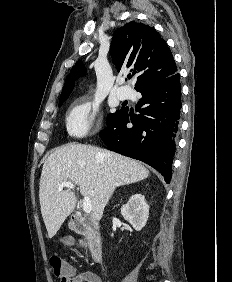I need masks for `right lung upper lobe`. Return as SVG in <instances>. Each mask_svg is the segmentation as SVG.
I'll list each match as a JSON object with an SVG mask.
<instances>
[{"instance_id":"cb5924a9","label":"right lung upper lobe","mask_w":232,"mask_h":282,"mask_svg":"<svg viewBox=\"0 0 232 282\" xmlns=\"http://www.w3.org/2000/svg\"><path fill=\"white\" fill-rule=\"evenodd\" d=\"M111 57L117 71L137 74L135 89L169 77L177 72L171 51L157 31L143 23L131 21L116 30L111 44ZM86 73L79 60L67 76L60 99L72 92L75 81Z\"/></svg>"}]
</instances>
